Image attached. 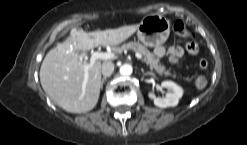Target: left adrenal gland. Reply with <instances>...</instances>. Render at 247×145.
Wrapping results in <instances>:
<instances>
[{"mask_svg":"<svg viewBox=\"0 0 247 145\" xmlns=\"http://www.w3.org/2000/svg\"><path fill=\"white\" fill-rule=\"evenodd\" d=\"M142 73L144 76H147V75H151V76H154V74L152 72H144L143 69H141Z\"/></svg>","mask_w":247,"mask_h":145,"instance_id":"1","label":"left adrenal gland"}]
</instances>
